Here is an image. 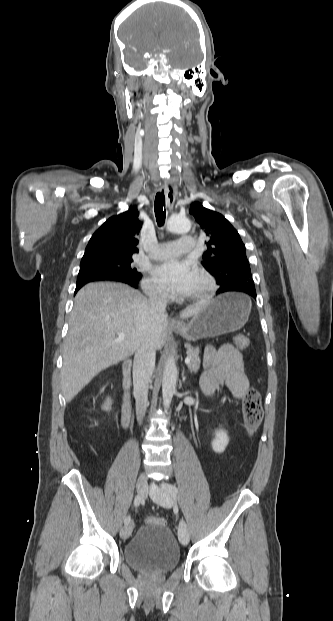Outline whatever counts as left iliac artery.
I'll list each match as a JSON object with an SVG mask.
<instances>
[{
    "instance_id": "1",
    "label": "left iliac artery",
    "mask_w": 333,
    "mask_h": 621,
    "mask_svg": "<svg viewBox=\"0 0 333 621\" xmlns=\"http://www.w3.org/2000/svg\"><path fill=\"white\" fill-rule=\"evenodd\" d=\"M161 486L165 488L173 496H175L178 493V489L175 485L164 483Z\"/></svg>"
}]
</instances>
